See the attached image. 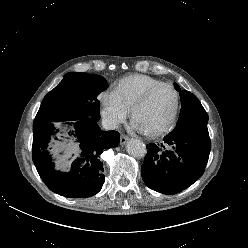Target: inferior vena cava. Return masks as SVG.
Listing matches in <instances>:
<instances>
[{
  "instance_id": "1",
  "label": "inferior vena cava",
  "mask_w": 248,
  "mask_h": 248,
  "mask_svg": "<svg viewBox=\"0 0 248 248\" xmlns=\"http://www.w3.org/2000/svg\"><path fill=\"white\" fill-rule=\"evenodd\" d=\"M102 127L105 130H115L118 128L117 122L109 118L102 119Z\"/></svg>"
}]
</instances>
